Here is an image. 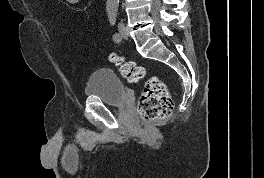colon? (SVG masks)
<instances>
[{"mask_svg": "<svg viewBox=\"0 0 264 178\" xmlns=\"http://www.w3.org/2000/svg\"><path fill=\"white\" fill-rule=\"evenodd\" d=\"M108 61L117 66L119 73L130 83L138 82L146 75L143 66L111 53ZM139 115L146 121L168 118L173 111V101L165 83L158 77H150L144 84L137 104Z\"/></svg>", "mask_w": 264, "mask_h": 178, "instance_id": "colon-1", "label": "colon"}]
</instances>
